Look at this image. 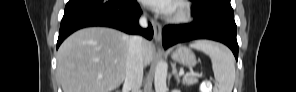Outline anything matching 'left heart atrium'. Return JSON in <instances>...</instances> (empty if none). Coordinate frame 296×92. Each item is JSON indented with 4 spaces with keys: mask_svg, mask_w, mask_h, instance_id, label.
<instances>
[{
    "mask_svg": "<svg viewBox=\"0 0 296 92\" xmlns=\"http://www.w3.org/2000/svg\"><path fill=\"white\" fill-rule=\"evenodd\" d=\"M146 4L150 5L155 10L169 14L173 10H175V5L172 1H166V0H147L145 2ZM176 4V3H175Z\"/></svg>",
    "mask_w": 296,
    "mask_h": 92,
    "instance_id": "1",
    "label": "left heart atrium"
}]
</instances>
